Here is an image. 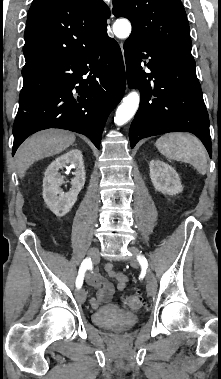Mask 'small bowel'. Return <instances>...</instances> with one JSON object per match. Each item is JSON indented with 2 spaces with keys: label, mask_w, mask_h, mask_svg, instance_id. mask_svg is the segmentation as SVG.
I'll list each match as a JSON object with an SVG mask.
<instances>
[{
  "label": "small bowel",
  "mask_w": 221,
  "mask_h": 379,
  "mask_svg": "<svg viewBox=\"0 0 221 379\" xmlns=\"http://www.w3.org/2000/svg\"><path fill=\"white\" fill-rule=\"evenodd\" d=\"M105 270L113 282L98 273L90 274L86 277L87 283L95 288V297L90 300L92 308L95 309L98 308L101 303L110 301L115 289L122 291L128 281L127 276L116 272L111 263L105 265Z\"/></svg>",
  "instance_id": "obj_1"
}]
</instances>
